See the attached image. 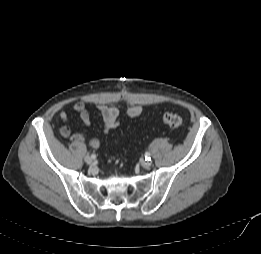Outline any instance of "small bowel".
<instances>
[{"instance_id":"small-bowel-1","label":"small bowel","mask_w":261,"mask_h":254,"mask_svg":"<svg viewBox=\"0 0 261 254\" xmlns=\"http://www.w3.org/2000/svg\"><path fill=\"white\" fill-rule=\"evenodd\" d=\"M98 109L101 113L103 123H104V132L108 134L111 130L118 127L121 119L120 111L117 107L107 105V104H99ZM73 110L77 112L85 126H89L91 124V115L87 109V105L83 101H78L73 105ZM144 111L143 106L141 105H133L130 106L125 112L124 116L128 118H136L140 116ZM60 119L67 123L68 115L65 111H61L59 113ZM60 134L63 137H70L71 139L81 142L87 141L89 146L93 149H98L100 146V141L95 137H89V135L85 132H76L73 133L70 127L65 124L60 128Z\"/></svg>"}]
</instances>
